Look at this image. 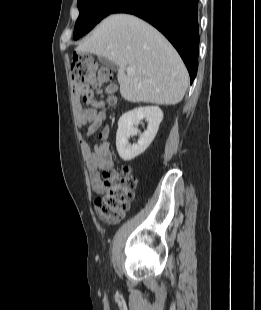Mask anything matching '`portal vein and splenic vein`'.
I'll list each match as a JSON object with an SVG mask.
<instances>
[{"mask_svg": "<svg viewBox=\"0 0 261 310\" xmlns=\"http://www.w3.org/2000/svg\"><path fill=\"white\" fill-rule=\"evenodd\" d=\"M127 73H134V69L132 67H127Z\"/></svg>", "mask_w": 261, "mask_h": 310, "instance_id": "1", "label": "portal vein and splenic vein"}]
</instances>
